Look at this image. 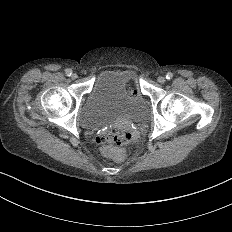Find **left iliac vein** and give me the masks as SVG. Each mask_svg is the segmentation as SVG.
<instances>
[{"instance_id": "obj_1", "label": "left iliac vein", "mask_w": 232, "mask_h": 232, "mask_svg": "<svg viewBox=\"0 0 232 232\" xmlns=\"http://www.w3.org/2000/svg\"><path fill=\"white\" fill-rule=\"evenodd\" d=\"M166 81V78L164 76H159L158 77V82L159 83H164Z\"/></svg>"}]
</instances>
